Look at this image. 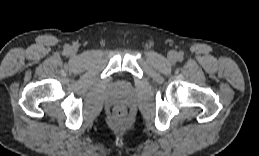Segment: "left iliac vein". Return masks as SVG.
I'll return each instance as SVG.
<instances>
[{
	"label": "left iliac vein",
	"instance_id": "left-iliac-vein-1",
	"mask_svg": "<svg viewBox=\"0 0 259 156\" xmlns=\"http://www.w3.org/2000/svg\"><path fill=\"white\" fill-rule=\"evenodd\" d=\"M168 59L174 62L177 59V54L174 51L168 53Z\"/></svg>",
	"mask_w": 259,
	"mask_h": 156
}]
</instances>
